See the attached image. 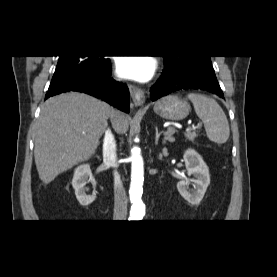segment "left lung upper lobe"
<instances>
[{"instance_id":"obj_1","label":"left lung upper lobe","mask_w":277,"mask_h":277,"mask_svg":"<svg viewBox=\"0 0 277 277\" xmlns=\"http://www.w3.org/2000/svg\"><path fill=\"white\" fill-rule=\"evenodd\" d=\"M165 68L185 70L193 67H212L210 56H163Z\"/></svg>"}]
</instances>
